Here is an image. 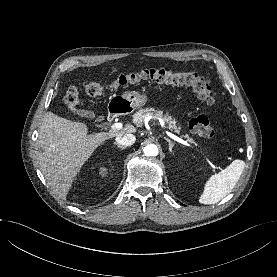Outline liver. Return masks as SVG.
Segmentation results:
<instances>
[{"label": "liver", "instance_id": "liver-1", "mask_svg": "<svg viewBox=\"0 0 277 277\" xmlns=\"http://www.w3.org/2000/svg\"><path fill=\"white\" fill-rule=\"evenodd\" d=\"M136 132L126 124L122 130L88 134L87 125L48 111L39 128V167L54 193L65 197L74 178L95 150L106 140Z\"/></svg>", "mask_w": 277, "mask_h": 277}]
</instances>
